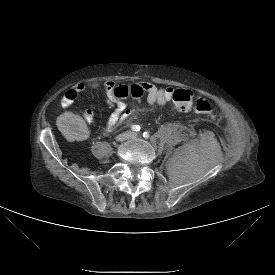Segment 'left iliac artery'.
<instances>
[{"mask_svg": "<svg viewBox=\"0 0 275 275\" xmlns=\"http://www.w3.org/2000/svg\"><path fill=\"white\" fill-rule=\"evenodd\" d=\"M143 137L146 138V139L149 138V133L148 132H144L143 133Z\"/></svg>", "mask_w": 275, "mask_h": 275, "instance_id": "44dca946", "label": "left iliac artery"}]
</instances>
